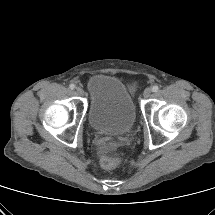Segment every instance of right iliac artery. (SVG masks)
Wrapping results in <instances>:
<instances>
[{
    "label": "right iliac artery",
    "mask_w": 215,
    "mask_h": 215,
    "mask_svg": "<svg viewBox=\"0 0 215 215\" xmlns=\"http://www.w3.org/2000/svg\"><path fill=\"white\" fill-rule=\"evenodd\" d=\"M69 88L73 90V89H75V85L74 84H70Z\"/></svg>",
    "instance_id": "obj_1"
}]
</instances>
